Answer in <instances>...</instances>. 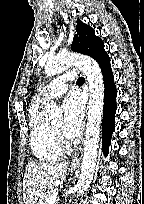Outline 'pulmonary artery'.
<instances>
[{
    "label": "pulmonary artery",
    "instance_id": "1",
    "mask_svg": "<svg viewBox=\"0 0 144 204\" xmlns=\"http://www.w3.org/2000/svg\"><path fill=\"white\" fill-rule=\"evenodd\" d=\"M75 75L76 73L71 71L57 77L40 92L39 99L43 101L64 94L68 88L67 82L72 80Z\"/></svg>",
    "mask_w": 144,
    "mask_h": 204
}]
</instances>
